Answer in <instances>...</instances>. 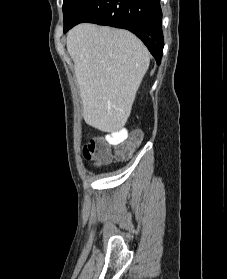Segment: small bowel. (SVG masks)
<instances>
[{
    "mask_svg": "<svg viewBox=\"0 0 227 279\" xmlns=\"http://www.w3.org/2000/svg\"><path fill=\"white\" fill-rule=\"evenodd\" d=\"M128 133L125 129H119L116 132L106 135L105 140L110 145H117L127 139Z\"/></svg>",
    "mask_w": 227,
    "mask_h": 279,
    "instance_id": "c3829d8e",
    "label": "small bowel"
}]
</instances>
